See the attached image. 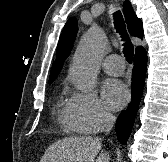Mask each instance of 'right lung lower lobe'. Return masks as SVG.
<instances>
[{"label": "right lung lower lobe", "mask_w": 168, "mask_h": 162, "mask_svg": "<svg viewBox=\"0 0 168 162\" xmlns=\"http://www.w3.org/2000/svg\"><path fill=\"white\" fill-rule=\"evenodd\" d=\"M146 70L147 53L145 50H141L136 52L134 57L131 102L127 109L124 110L118 117L115 127L117 132V139L123 145H126L127 140L131 134L134 119L143 93Z\"/></svg>", "instance_id": "obj_1"}]
</instances>
